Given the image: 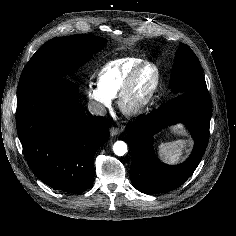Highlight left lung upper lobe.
<instances>
[{
    "mask_svg": "<svg viewBox=\"0 0 236 236\" xmlns=\"http://www.w3.org/2000/svg\"><path fill=\"white\" fill-rule=\"evenodd\" d=\"M169 86L176 94L207 90L199 59L186 44L181 43L175 56Z\"/></svg>",
    "mask_w": 236,
    "mask_h": 236,
    "instance_id": "1",
    "label": "left lung upper lobe"
}]
</instances>
